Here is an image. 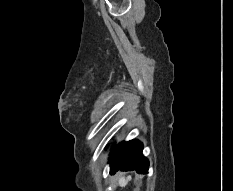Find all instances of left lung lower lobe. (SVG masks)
<instances>
[{
    "instance_id": "0a47b994",
    "label": "left lung lower lobe",
    "mask_w": 233,
    "mask_h": 191,
    "mask_svg": "<svg viewBox=\"0 0 233 191\" xmlns=\"http://www.w3.org/2000/svg\"><path fill=\"white\" fill-rule=\"evenodd\" d=\"M143 145L137 140L129 142H121L117 146H113L110 153V173L116 171H132L136 170L139 174L148 172L149 162L142 155Z\"/></svg>"
}]
</instances>
